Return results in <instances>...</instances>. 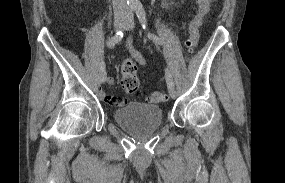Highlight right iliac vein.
Listing matches in <instances>:
<instances>
[{
	"mask_svg": "<svg viewBox=\"0 0 285 183\" xmlns=\"http://www.w3.org/2000/svg\"><path fill=\"white\" fill-rule=\"evenodd\" d=\"M126 18L124 17H119V18H116L115 21H114V29L115 31H120L124 25L126 24ZM106 79V73L104 70H101L98 74V83L101 84L105 81Z\"/></svg>",
	"mask_w": 285,
	"mask_h": 183,
	"instance_id": "right-iliac-vein-1",
	"label": "right iliac vein"
}]
</instances>
